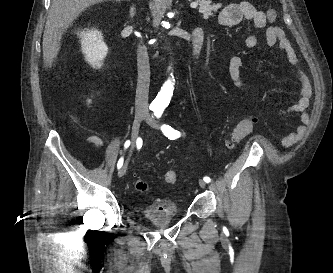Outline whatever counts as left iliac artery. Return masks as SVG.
I'll list each match as a JSON object with an SVG mask.
<instances>
[{
  "mask_svg": "<svg viewBox=\"0 0 333 273\" xmlns=\"http://www.w3.org/2000/svg\"><path fill=\"white\" fill-rule=\"evenodd\" d=\"M163 111L162 110H155L154 111V115L157 117V118H160L161 115H162ZM161 130L162 132L164 133V135L166 137H168V139H171V140H175L177 138H179L181 136V133L175 129H173L171 126L169 125H166V124H163L162 127H161ZM203 180L207 183H209L211 181V179L209 177H204Z\"/></svg>",
  "mask_w": 333,
  "mask_h": 273,
  "instance_id": "1",
  "label": "left iliac artery"
}]
</instances>
